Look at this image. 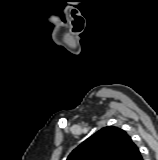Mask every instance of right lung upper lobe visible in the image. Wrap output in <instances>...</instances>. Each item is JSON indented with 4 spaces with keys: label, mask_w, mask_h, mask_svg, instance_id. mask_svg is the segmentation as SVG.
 I'll list each match as a JSON object with an SVG mask.
<instances>
[{
    "label": "right lung upper lobe",
    "mask_w": 158,
    "mask_h": 160,
    "mask_svg": "<svg viewBox=\"0 0 158 160\" xmlns=\"http://www.w3.org/2000/svg\"><path fill=\"white\" fill-rule=\"evenodd\" d=\"M141 153L122 129L104 127L75 148L67 160H137Z\"/></svg>",
    "instance_id": "cb5924a9"
}]
</instances>
